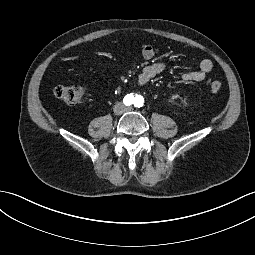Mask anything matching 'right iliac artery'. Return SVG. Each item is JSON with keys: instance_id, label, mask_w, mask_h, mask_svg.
Returning <instances> with one entry per match:
<instances>
[{"instance_id": "82829eb1", "label": "right iliac artery", "mask_w": 255, "mask_h": 255, "mask_svg": "<svg viewBox=\"0 0 255 255\" xmlns=\"http://www.w3.org/2000/svg\"><path fill=\"white\" fill-rule=\"evenodd\" d=\"M126 105H131L132 104V101H131V99H127V100H125V102H124Z\"/></svg>"}]
</instances>
